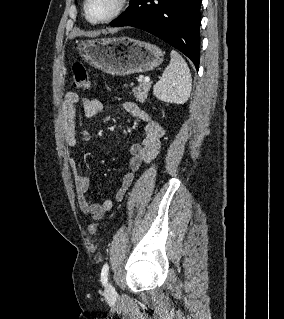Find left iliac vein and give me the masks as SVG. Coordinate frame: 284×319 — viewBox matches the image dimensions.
Listing matches in <instances>:
<instances>
[{
  "label": "left iliac vein",
  "mask_w": 284,
  "mask_h": 319,
  "mask_svg": "<svg viewBox=\"0 0 284 319\" xmlns=\"http://www.w3.org/2000/svg\"><path fill=\"white\" fill-rule=\"evenodd\" d=\"M106 292L109 293V294L114 293V287L112 286L111 283H108V284L106 285Z\"/></svg>",
  "instance_id": "4c4485c4"
}]
</instances>
